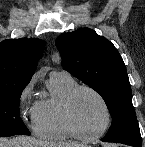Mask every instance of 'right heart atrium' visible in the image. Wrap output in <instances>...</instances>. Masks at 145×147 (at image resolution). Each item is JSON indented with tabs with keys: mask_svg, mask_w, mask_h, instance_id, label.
<instances>
[{
	"mask_svg": "<svg viewBox=\"0 0 145 147\" xmlns=\"http://www.w3.org/2000/svg\"><path fill=\"white\" fill-rule=\"evenodd\" d=\"M32 86L27 84L19 96V110L27 124L34 122V108L28 109L27 101L31 93Z\"/></svg>",
	"mask_w": 145,
	"mask_h": 147,
	"instance_id": "obj_1",
	"label": "right heart atrium"
}]
</instances>
